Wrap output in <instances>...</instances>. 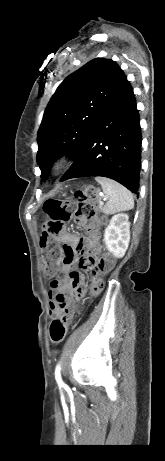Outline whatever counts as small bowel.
I'll use <instances>...</instances> for the list:
<instances>
[{"instance_id": "small-bowel-1", "label": "small bowel", "mask_w": 165, "mask_h": 461, "mask_svg": "<svg viewBox=\"0 0 165 461\" xmlns=\"http://www.w3.org/2000/svg\"><path fill=\"white\" fill-rule=\"evenodd\" d=\"M77 223L80 225L79 230H69L66 240L69 250L78 251H61L60 264L56 266L55 271L61 272L64 277L52 281L50 288V315L56 317L63 314L66 322L73 319L75 301L86 293L84 277L74 266L79 264L80 267L92 269L94 272L98 270L97 267L88 264V259L96 257L100 251V232L94 225H86L84 219L78 218Z\"/></svg>"}]
</instances>
